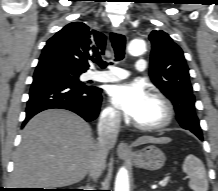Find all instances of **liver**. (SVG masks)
<instances>
[{"instance_id": "liver-1", "label": "liver", "mask_w": 218, "mask_h": 191, "mask_svg": "<svg viewBox=\"0 0 218 191\" xmlns=\"http://www.w3.org/2000/svg\"><path fill=\"white\" fill-rule=\"evenodd\" d=\"M168 137L142 136L134 145L165 144ZM96 154L90 125L78 115L49 109L34 116L15 152L11 182L17 188L65 187L85 178Z\"/></svg>"}]
</instances>
